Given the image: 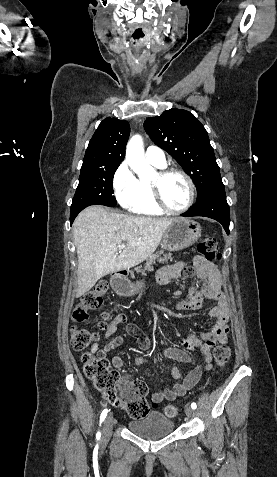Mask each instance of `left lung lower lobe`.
Segmentation results:
<instances>
[{"mask_svg":"<svg viewBox=\"0 0 277 477\" xmlns=\"http://www.w3.org/2000/svg\"><path fill=\"white\" fill-rule=\"evenodd\" d=\"M184 217L204 216L220 222L226 233L229 234L230 210L226 201L225 188L222 179L212 183L196 205Z\"/></svg>","mask_w":277,"mask_h":477,"instance_id":"1","label":"left lung lower lobe"}]
</instances>
